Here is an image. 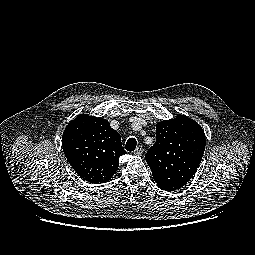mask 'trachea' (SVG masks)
Masks as SVG:
<instances>
[{
	"label": "trachea",
	"instance_id": "obj_1",
	"mask_svg": "<svg viewBox=\"0 0 255 255\" xmlns=\"http://www.w3.org/2000/svg\"><path fill=\"white\" fill-rule=\"evenodd\" d=\"M136 144H137V142H136L135 138H129L126 142L125 148L127 151L132 152L135 150Z\"/></svg>",
	"mask_w": 255,
	"mask_h": 255
}]
</instances>
